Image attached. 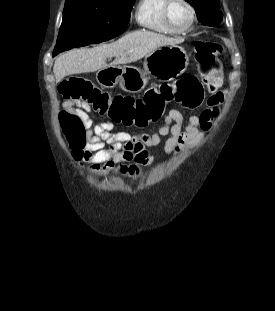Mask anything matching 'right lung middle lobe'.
I'll use <instances>...</instances> for the list:
<instances>
[{
  "label": "right lung middle lobe",
  "mask_w": 275,
  "mask_h": 311,
  "mask_svg": "<svg viewBox=\"0 0 275 311\" xmlns=\"http://www.w3.org/2000/svg\"><path fill=\"white\" fill-rule=\"evenodd\" d=\"M135 0H70L65 2L53 56L100 40L129 22Z\"/></svg>",
  "instance_id": "right-lung-middle-lobe-1"
}]
</instances>
